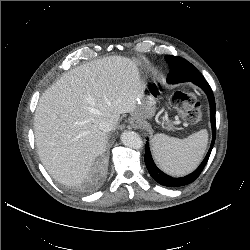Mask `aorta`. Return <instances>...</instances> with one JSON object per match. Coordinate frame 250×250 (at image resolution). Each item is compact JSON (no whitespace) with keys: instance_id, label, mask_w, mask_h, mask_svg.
<instances>
[{"instance_id":"762f6f07","label":"aorta","mask_w":250,"mask_h":250,"mask_svg":"<svg viewBox=\"0 0 250 250\" xmlns=\"http://www.w3.org/2000/svg\"><path fill=\"white\" fill-rule=\"evenodd\" d=\"M121 142L130 148L140 149L143 147V141L138 133L134 131H124L121 134Z\"/></svg>"}]
</instances>
